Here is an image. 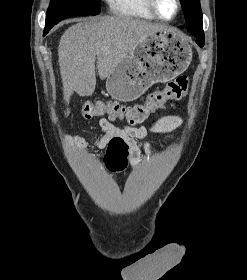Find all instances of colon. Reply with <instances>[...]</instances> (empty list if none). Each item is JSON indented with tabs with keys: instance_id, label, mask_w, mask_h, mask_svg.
<instances>
[{
	"instance_id": "obj_1",
	"label": "colon",
	"mask_w": 247,
	"mask_h": 280,
	"mask_svg": "<svg viewBox=\"0 0 247 280\" xmlns=\"http://www.w3.org/2000/svg\"><path fill=\"white\" fill-rule=\"evenodd\" d=\"M189 81L184 75L168 82L163 89L150 92L145 101L133 106L117 102H86L81 108L85 119L107 115L110 119L125 120L129 125L141 124L170 100H178L187 95ZM105 165L112 172L123 171L128 165V147L120 139H114L108 145L104 158Z\"/></svg>"
}]
</instances>
